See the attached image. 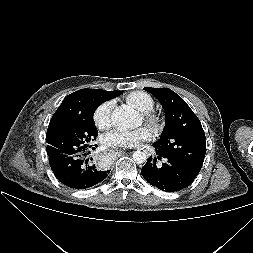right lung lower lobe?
I'll return each mask as SVG.
<instances>
[{"label": "right lung lower lobe", "instance_id": "1", "mask_svg": "<svg viewBox=\"0 0 253 253\" xmlns=\"http://www.w3.org/2000/svg\"><path fill=\"white\" fill-rule=\"evenodd\" d=\"M95 149V148H94ZM89 151L66 156L49 158L51 169L56 178L65 186L73 189L90 188L103 181L110 170H101L89 158Z\"/></svg>", "mask_w": 253, "mask_h": 253}]
</instances>
